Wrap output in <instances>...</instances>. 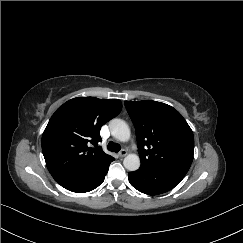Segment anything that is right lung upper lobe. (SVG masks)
I'll list each match as a JSON object with an SVG mask.
<instances>
[{"label": "right lung upper lobe", "instance_id": "right-lung-upper-lobe-1", "mask_svg": "<svg viewBox=\"0 0 243 243\" xmlns=\"http://www.w3.org/2000/svg\"><path fill=\"white\" fill-rule=\"evenodd\" d=\"M122 109L118 99L73 98L60 106L42 135L47 168L58 181L109 158L98 145L101 127Z\"/></svg>", "mask_w": 243, "mask_h": 243}]
</instances>
